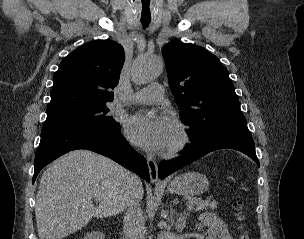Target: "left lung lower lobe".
I'll use <instances>...</instances> for the list:
<instances>
[{
	"label": "left lung lower lobe",
	"mask_w": 304,
	"mask_h": 239,
	"mask_svg": "<svg viewBox=\"0 0 304 239\" xmlns=\"http://www.w3.org/2000/svg\"><path fill=\"white\" fill-rule=\"evenodd\" d=\"M230 148L241 151L251 157L259 166V161L255 152V145L250 133L226 132L221 133L197 143H193L192 147L187 149L176 159L162 161L158 167V175L160 179L172 174L183 166L191 163L204 156L205 154L219 150Z\"/></svg>",
	"instance_id": "left-lung-lower-lobe-1"
}]
</instances>
